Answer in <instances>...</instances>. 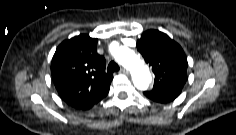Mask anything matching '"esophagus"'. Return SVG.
Instances as JSON below:
<instances>
[{
  "label": "esophagus",
  "instance_id": "1",
  "mask_svg": "<svg viewBox=\"0 0 236 135\" xmlns=\"http://www.w3.org/2000/svg\"><path fill=\"white\" fill-rule=\"evenodd\" d=\"M120 72H122L124 74H128L129 73V71L126 68H124V67L121 68Z\"/></svg>",
  "mask_w": 236,
  "mask_h": 135
}]
</instances>
